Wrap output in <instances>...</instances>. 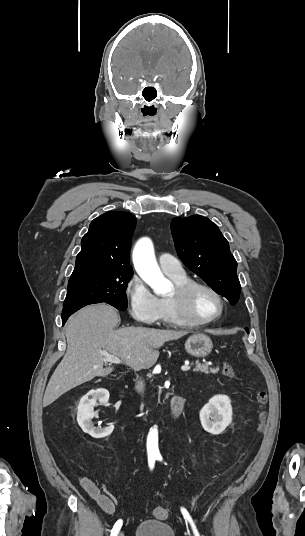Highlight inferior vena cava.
Segmentation results:
<instances>
[{
  "instance_id": "1",
  "label": "inferior vena cava",
  "mask_w": 305,
  "mask_h": 536,
  "mask_svg": "<svg viewBox=\"0 0 305 536\" xmlns=\"http://www.w3.org/2000/svg\"><path fill=\"white\" fill-rule=\"evenodd\" d=\"M136 390H137V392H139V394H143V392H144V384H143V382H137Z\"/></svg>"
}]
</instances>
